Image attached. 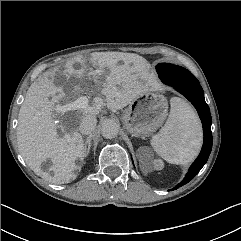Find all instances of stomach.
<instances>
[{
    "mask_svg": "<svg viewBox=\"0 0 241 241\" xmlns=\"http://www.w3.org/2000/svg\"><path fill=\"white\" fill-rule=\"evenodd\" d=\"M166 98L154 91H147L131 101L122 114V122L130 134L147 137L155 132L167 117Z\"/></svg>",
    "mask_w": 241,
    "mask_h": 241,
    "instance_id": "stomach-1",
    "label": "stomach"
}]
</instances>
